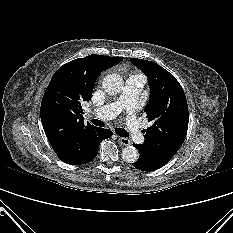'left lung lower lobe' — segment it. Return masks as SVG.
<instances>
[{"label":"left lung lower lobe","mask_w":233,"mask_h":233,"mask_svg":"<svg viewBox=\"0 0 233 233\" xmlns=\"http://www.w3.org/2000/svg\"><path fill=\"white\" fill-rule=\"evenodd\" d=\"M138 149L139 158L132 165L142 171H154L162 166H164L168 161L162 159L158 155L150 152L148 149L144 148L142 145L133 144Z\"/></svg>","instance_id":"obj_1"}]
</instances>
